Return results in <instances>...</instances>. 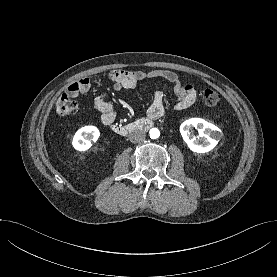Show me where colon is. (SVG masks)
Masks as SVG:
<instances>
[{
	"instance_id": "colon-1",
	"label": "colon",
	"mask_w": 277,
	"mask_h": 277,
	"mask_svg": "<svg viewBox=\"0 0 277 277\" xmlns=\"http://www.w3.org/2000/svg\"><path fill=\"white\" fill-rule=\"evenodd\" d=\"M87 89L86 82L78 81L71 88L70 91L60 96L56 102V111L61 116H66L73 113L77 109V103L74 100L76 95L83 93ZM204 101L209 106L216 105L220 100V95L213 89H206L203 94Z\"/></svg>"
}]
</instances>
